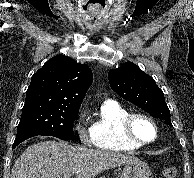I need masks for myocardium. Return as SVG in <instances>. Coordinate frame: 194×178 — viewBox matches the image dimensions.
I'll return each instance as SVG.
<instances>
[{"label": "myocardium", "mask_w": 194, "mask_h": 178, "mask_svg": "<svg viewBox=\"0 0 194 178\" xmlns=\"http://www.w3.org/2000/svg\"><path fill=\"white\" fill-rule=\"evenodd\" d=\"M137 119H143L151 124L154 129V138L150 141H143L135 136L133 132V124ZM121 134L123 138L140 147L154 143L159 136V130L156 121L149 115L144 113H129L121 122Z\"/></svg>", "instance_id": "f54148a6"}]
</instances>
